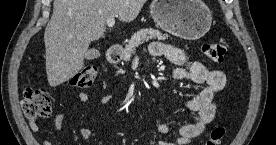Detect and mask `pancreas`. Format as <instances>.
<instances>
[{"mask_svg": "<svg viewBox=\"0 0 276 145\" xmlns=\"http://www.w3.org/2000/svg\"><path fill=\"white\" fill-rule=\"evenodd\" d=\"M168 38V35L162 34L161 31L156 29H141L137 31L134 35H132L131 39L129 40L128 44L126 45L124 52H123V59L124 61H130L132 54H134L137 48L152 39L158 40H165Z\"/></svg>", "mask_w": 276, "mask_h": 145, "instance_id": "pancreas-1", "label": "pancreas"}]
</instances>
